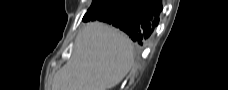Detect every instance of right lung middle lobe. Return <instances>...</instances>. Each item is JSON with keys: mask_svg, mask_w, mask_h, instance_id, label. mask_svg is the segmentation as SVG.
<instances>
[{"mask_svg": "<svg viewBox=\"0 0 228 90\" xmlns=\"http://www.w3.org/2000/svg\"><path fill=\"white\" fill-rule=\"evenodd\" d=\"M101 2V0H94L93 3H95L96 5H99ZM85 22V21H84Z\"/></svg>", "mask_w": 228, "mask_h": 90, "instance_id": "right-lung-middle-lobe-1", "label": "right lung middle lobe"}]
</instances>
